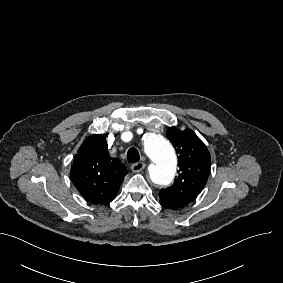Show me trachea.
<instances>
[{
  "label": "trachea",
  "mask_w": 283,
  "mask_h": 283,
  "mask_svg": "<svg viewBox=\"0 0 283 283\" xmlns=\"http://www.w3.org/2000/svg\"><path fill=\"white\" fill-rule=\"evenodd\" d=\"M140 156H139V152L136 148H130L127 152V161L129 163H136L137 161H139Z\"/></svg>",
  "instance_id": "3493384b"
}]
</instances>
